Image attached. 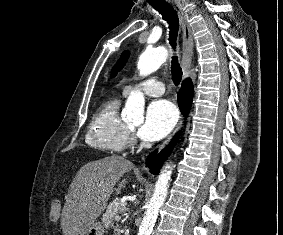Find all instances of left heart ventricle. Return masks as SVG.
<instances>
[{
  "label": "left heart ventricle",
  "mask_w": 283,
  "mask_h": 235,
  "mask_svg": "<svg viewBox=\"0 0 283 235\" xmlns=\"http://www.w3.org/2000/svg\"><path fill=\"white\" fill-rule=\"evenodd\" d=\"M129 127H130L131 129L135 128V126H133V125H130Z\"/></svg>",
  "instance_id": "left-heart-ventricle-1"
}]
</instances>
